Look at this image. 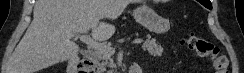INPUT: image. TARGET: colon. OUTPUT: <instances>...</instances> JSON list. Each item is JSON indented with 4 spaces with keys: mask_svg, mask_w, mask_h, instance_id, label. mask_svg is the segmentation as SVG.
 <instances>
[{
    "mask_svg": "<svg viewBox=\"0 0 244 73\" xmlns=\"http://www.w3.org/2000/svg\"><path fill=\"white\" fill-rule=\"evenodd\" d=\"M183 40L198 56L210 60L215 73H228V59L214 43L192 33H186Z\"/></svg>",
    "mask_w": 244,
    "mask_h": 73,
    "instance_id": "colon-1",
    "label": "colon"
}]
</instances>
